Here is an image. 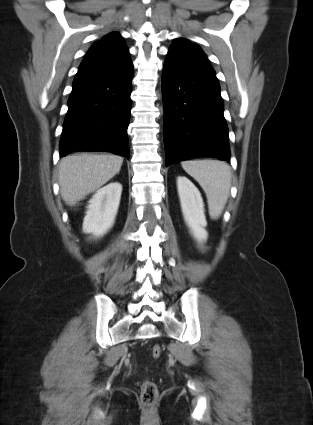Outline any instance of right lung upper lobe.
Segmentation results:
<instances>
[{
    "label": "right lung upper lobe",
    "mask_w": 313,
    "mask_h": 425,
    "mask_svg": "<svg viewBox=\"0 0 313 425\" xmlns=\"http://www.w3.org/2000/svg\"><path fill=\"white\" fill-rule=\"evenodd\" d=\"M83 61L127 62L130 58L124 39L111 32L91 46Z\"/></svg>",
    "instance_id": "right-lung-upper-lobe-1"
}]
</instances>
